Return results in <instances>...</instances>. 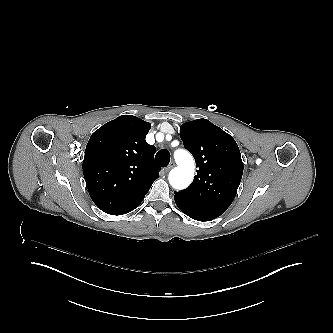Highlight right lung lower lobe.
<instances>
[{
	"label": "right lung lower lobe",
	"mask_w": 333,
	"mask_h": 333,
	"mask_svg": "<svg viewBox=\"0 0 333 333\" xmlns=\"http://www.w3.org/2000/svg\"><path fill=\"white\" fill-rule=\"evenodd\" d=\"M107 166L101 161H96L84 174L86 184H105L110 182ZM153 182L139 181L134 178L114 186L108 195L102 196L94 203L104 212L111 215L126 214L135 209L144 199Z\"/></svg>",
	"instance_id": "right-lung-lower-lobe-1"
}]
</instances>
